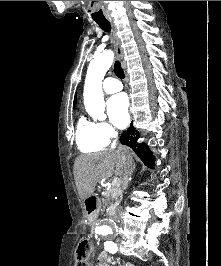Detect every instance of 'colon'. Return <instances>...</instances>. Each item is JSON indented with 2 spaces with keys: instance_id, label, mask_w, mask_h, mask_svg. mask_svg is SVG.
Masks as SVG:
<instances>
[{
  "instance_id": "1",
  "label": "colon",
  "mask_w": 221,
  "mask_h": 266,
  "mask_svg": "<svg viewBox=\"0 0 221 266\" xmlns=\"http://www.w3.org/2000/svg\"><path fill=\"white\" fill-rule=\"evenodd\" d=\"M90 260H91L90 241L87 238H83L79 241L77 247L75 266H91Z\"/></svg>"
}]
</instances>
